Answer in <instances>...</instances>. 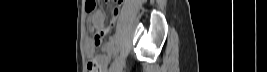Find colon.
I'll use <instances>...</instances> for the list:
<instances>
[{
    "label": "colon",
    "instance_id": "obj_1",
    "mask_svg": "<svg viewBox=\"0 0 267 72\" xmlns=\"http://www.w3.org/2000/svg\"><path fill=\"white\" fill-rule=\"evenodd\" d=\"M90 5H91L90 10H92L96 6V2L95 1H91ZM102 38H103L102 34L96 33L95 34V38H94L95 44H97V45L100 44L101 41H102ZM97 69H98V65H97L96 62L90 63V65H89V71L90 72H97Z\"/></svg>",
    "mask_w": 267,
    "mask_h": 72
}]
</instances>
